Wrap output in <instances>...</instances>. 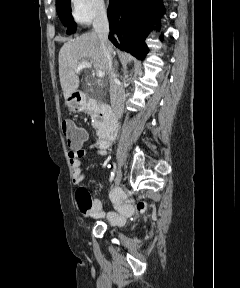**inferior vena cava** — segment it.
<instances>
[{
    "label": "inferior vena cava",
    "instance_id": "1",
    "mask_svg": "<svg viewBox=\"0 0 240 288\" xmlns=\"http://www.w3.org/2000/svg\"><path fill=\"white\" fill-rule=\"evenodd\" d=\"M93 29L98 36L103 53L107 62V72L111 83V108L112 113L106 121V125H113L117 123V120L121 117L125 95L123 88L117 81L115 71L112 67V45L108 41L109 34V22L107 18V12L105 9H101L93 22Z\"/></svg>",
    "mask_w": 240,
    "mask_h": 288
}]
</instances>
